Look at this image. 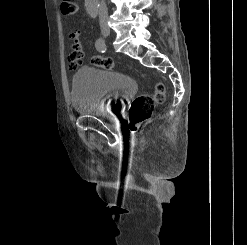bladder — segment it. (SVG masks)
<instances>
[{
	"label": "bladder",
	"instance_id": "obj_1",
	"mask_svg": "<svg viewBox=\"0 0 247 245\" xmlns=\"http://www.w3.org/2000/svg\"><path fill=\"white\" fill-rule=\"evenodd\" d=\"M137 89L131 76L103 68L83 67L72 79L71 102L80 114L107 116L117 113Z\"/></svg>",
	"mask_w": 247,
	"mask_h": 245
}]
</instances>
